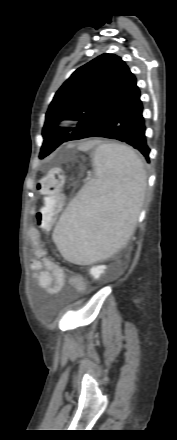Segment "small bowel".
Listing matches in <instances>:
<instances>
[{"label": "small bowel", "mask_w": 177, "mask_h": 440, "mask_svg": "<svg viewBox=\"0 0 177 440\" xmlns=\"http://www.w3.org/2000/svg\"><path fill=\"white\" fill-rule=\"evenodd\" d=\"M30 235L34 242V257L30 259L32 279L47 293L56 294L66 284L65 271L47 255L46 250L38 240V231L36 229H32ZM72 282L74 289L77 292H85L86 285L82 279L75 277L72 279Z\"/></svg>", "instance_id": "c3829d8e"}]
</instances>
